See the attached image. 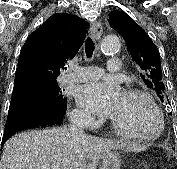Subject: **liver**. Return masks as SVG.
Listing matches in <instances>:
<instances>
[{
	"instance_id": "obj_1",
	"label": "liver",
	"mask_w": 177,
	"mask_h": 169,
	"mask_svg": "<svg viewBox=\"0 0 177 169\" xmlns=\"http://www.w3.org/2000/svg\"><path fill=\"white\" fill-rule=\"evenodd\" d=\"M113 149L133 150L126 143L73 133L68 128L27 131L5 143L0 169H96Z\"/></svg>"
}]
</instances>
